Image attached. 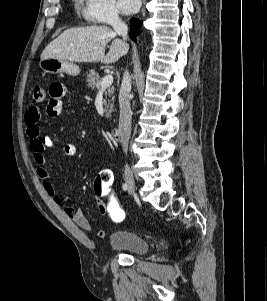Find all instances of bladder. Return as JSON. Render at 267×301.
I'll use <instances>...</instances> for the list:
<instances>
[{"label": "bladder", "mask_w": 267, "mask_h": 301, "mask_svg": "<svg viewBox=\"0 0 267 301\" xmlns=\"http://www.w3.org/2000/svg\"><path fill=\"white\" fill-rule=\"evenodd\" d=\"M112 249L129 252L134 255H143L150 251V243L138 234L130 231H115L109 238Z\"/></svg>", "instance_id": "31cf9c89"}]
</instances>
